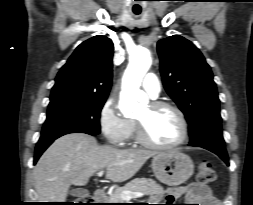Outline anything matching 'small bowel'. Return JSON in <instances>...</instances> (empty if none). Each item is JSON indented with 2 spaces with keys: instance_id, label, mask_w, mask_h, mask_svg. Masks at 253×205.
Segmentation results:
<instances>
[{
  "instance_id": "c3829d8e",
  "label": "small bowel",
  "mask_w": 253,
  "mask_h": 205,
  "mask_svg": "<svg viewBox=\"0 0 253 205\" xmlns=\"http://www.w3.org/2000/svg\"><path fill=\"white\" fill-rule=\"evenodd\" d=\"M181 196H185L189 202L196 203L190 205H219L218 200L212 195L211 189L202 183L193 182L171 190L167 199L173 201Z\"/></svg>"
}]
</instances>
